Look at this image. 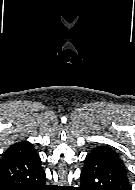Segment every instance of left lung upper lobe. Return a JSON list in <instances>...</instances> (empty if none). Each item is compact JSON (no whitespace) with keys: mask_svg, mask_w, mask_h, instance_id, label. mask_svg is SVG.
Segmentation results:
<instances>
[{"mask_svg":"<svg viewBox=\"0 0 135 190\" xmlns=\"http://www.w3.org/2000/svg\"><path fill=\"white\" fill-rule=\"evenodd\" d=\"M91 153L101 155V156L109 159L110 161L114 162L116 165L120 166L125 171H127V169H126L123 161L119 157V155L112 149H110L108 147H97V148L93 149L91 151Z\"/></svg>","mask_w":135,"mask_h":190,"instance_id":"5c2ea615","label":"left lung upper lobe"}]
</instances>
